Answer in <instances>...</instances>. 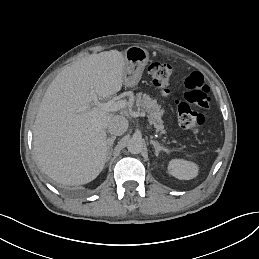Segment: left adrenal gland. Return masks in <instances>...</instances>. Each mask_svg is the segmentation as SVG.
<instances>
[{"label":"left adrenal gland","instance_id":"a2214340","mask_svg":"<svg viewBox=\"0 0 259 259\" xmlns=\"http://www.w3.org/2000/svg\"><path fill=\"white\" fill-rule=\"evenodd\" d=\"M150 143L153 145V147L156 150V156L159 157L160 152H164L165 154L169 155L171 150H167L165 148H162L158 142H155L153 140L150 141Z\"/></svg>","mask_w":259,"mask_h":259}]
</instances>
